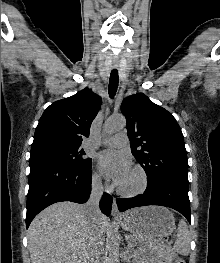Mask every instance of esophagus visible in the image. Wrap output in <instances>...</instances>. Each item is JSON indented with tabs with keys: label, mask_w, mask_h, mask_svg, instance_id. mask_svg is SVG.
Listing matches in <instances>:
<instances>
[{
	"label": "esophagus",
	"mask_w": 220,
	"mask_h": 263,
	"mask_svg": "<svg viewBox=\"0 0 220 263\" xmlns=\"http://www.w3.org/2000/svg\"><path fill=\"white\" fill-rule=\"evenodd\" d=\"M116 67H117V66H114V68H116ZM111 214H112L113 217H119V216H120V212H119V210H118V206H117V203H116V199H115V198L113 199Z\"/></svg>",
	"instance_id": "esophagus-1"
}]
</instances>
